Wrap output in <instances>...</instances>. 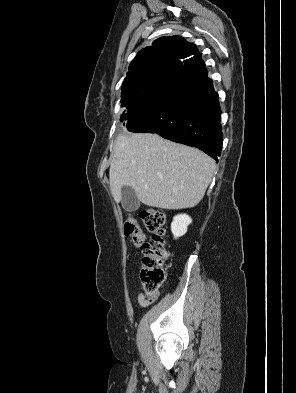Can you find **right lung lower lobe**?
I'll list each match as a JSON object with an SVG mask.
<instances>
[{"instance_id": "right-lung-lower-lobe-1", "label": "right lung lower lobe", "mask_w": 296, "mask_h": 393, "mask_svg": "<svg viewBox=\"0 0 296 393\" xmlns=\"http://www.w3.org/2000/svg\"><path fill=\"white\" fill-rule=\"evenodd\" d=\"M220 121L218 94L201 59L168 77L125 128L194 146L218 162L223 142Z\"/></svg>"}]
</instances>
